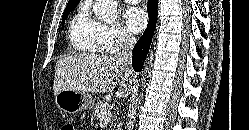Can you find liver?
I'll list each match as a JSON object with an SVG mask.
<instances>
[{"mask_svg":"<svg viewBox=\"0 0 249 130\" xmlns=\"http://www.w3.org/2000/svg\"><path fill=\"white\" fill-rule=\"evenodd\" d=\"M135 82V73L120 64L116 56L77 54L57 61L53 89L55 96L63 90L110 93L119 85L116 96L126 98Z\"/></svg>","mask_w":249,"mask_h":130,"instance_id":"6515ba94","label":"liver"}]
</instances>
